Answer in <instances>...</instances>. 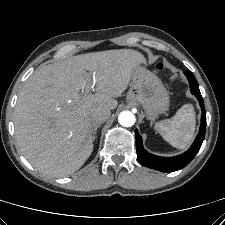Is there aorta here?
I'll return each instance as SVG.
<instances>
[{
    "mask_svg": "<svg viewBox=\"0 0 225 225\" xmlns=\"http://www.w3.org/2000/svg\"><path fill=\"white\" fill-rule=\"evenodd\" d=\"M136 121L135 115L130 111H122L118 116V122L124 127H131Z\"/></svg>",
    "mask_w": 225,
    "mask_h": 225,
    "instance_id": "obj_1",
    "label": "aorta"
}]
</instances>
